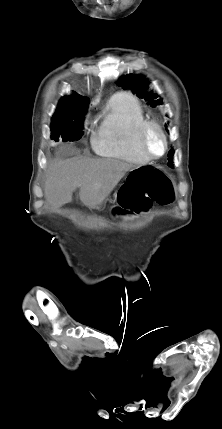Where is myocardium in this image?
<instances>
[{"instance_id": "f54148a6", "label": "myocardium", "mask_w": 222, "mask_h": 429, "mask_svg": "<svg viewBox=\"0 0 222 429\" xmlns=\"http://www.w3.org/2000/svg\"><path fill=\"white\" fill-rule=\"evenodd\" d=\"M152 129H154V130H156L160 135H161V137H162V139H163V142H164V150H163V152H162V154L161 155H155V154H153L150 150H149V148H148V146H147V142H146V140H147V135H148V133H149V131L150 130H152ZM139 146H140V149L142 150V152L150 159V160H156V159H160V158H162V157H164L165 156V154L167 153V151H168V148H169V143H168V138H167V134H166V132L163 130V128L160 126V124L159 123H157L156 121H154V120H146L143 124H142V126H141V129H140V132H139Z\"/></svg>"}]
</instances>
